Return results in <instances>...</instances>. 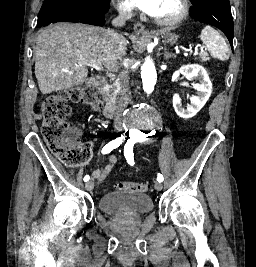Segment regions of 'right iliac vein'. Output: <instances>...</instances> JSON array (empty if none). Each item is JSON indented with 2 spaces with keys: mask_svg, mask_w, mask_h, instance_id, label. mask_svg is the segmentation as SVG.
<instances>
[{
  "mask_svg": "<svg viewBox=\"0 0 256 267\" xmlns=\"http://www.w3.org/2000/svg\"><path fill=\"white\" fill-rule=\"evenodd\" d=\"M85 188L87 191H92L94 188V182L93 181H89L85 184Z\"/></svg>",
  "mask_w": 256,
  "mask_h": 267,
  "instance_id": "obj_1",
  "label": "right iliac vein"
}]
</instances>
